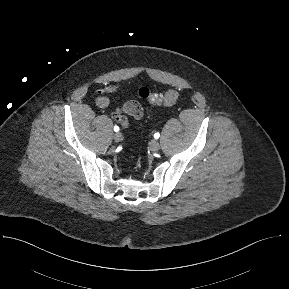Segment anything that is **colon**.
Segmentation results:
<instances>
[{
	"instance_id": "5ec220e1",
	"label": "colon",
	"mask_w": 289,
	"mask_h": 289,
	"mask_svg": "<svg viewBox=\"0 0 289 289\" xmlns=\"http://www.w3.org/2000/svg\"><path fill=\"white\" fill-rule=\"evenodd\" d=\"M138 95L153 105L164 107L172 106L178 99V92L176 90H168L164 94H157L142 87L139 89Z\"/></svg>"
}]
</instances>
